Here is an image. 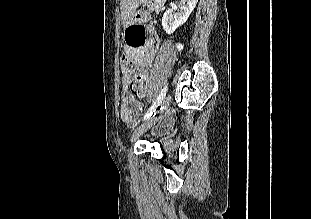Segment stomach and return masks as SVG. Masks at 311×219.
Instances as JSON below:
<instances>
[{"label": "stomach", "mask_w": 311, "mask_h": 219, "mask_svg": "<svg viewBox=\"0 0 311 219\" xmlns=\"http://www.w3.org/2000/svg\"><path fill=\"white\" fill-rule=\"evenodd\" d=\"M147 0H134L133 4L135 6V10L133 13L129 16L127 19L128 23H137V22H147L150 19L149 11H142L138 10L136 11V8L143 2H146Z\"/></svg>", "instance_id": "0dacf381"}]
</instances>
